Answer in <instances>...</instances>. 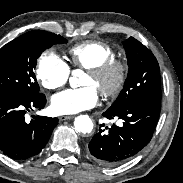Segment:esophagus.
<instances>
[{
  "instance_id": "34e87169",
  "label": "esophagus",
  "mask_w": 183,
  "mask_h": 183,
  "mask_svg": "<svg viewBox=\"0 0 183 183\" xmlns=\"http://www.w3.org/2000/svg\"><path fill=\"white\" fill-rule=\"evenodd\" d=\"M72 118H73V116H71V115H62V116L59 117V120L60 121H65V120H69V119H72Z\"/></svg>"
}]
</instances>
